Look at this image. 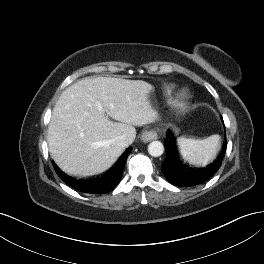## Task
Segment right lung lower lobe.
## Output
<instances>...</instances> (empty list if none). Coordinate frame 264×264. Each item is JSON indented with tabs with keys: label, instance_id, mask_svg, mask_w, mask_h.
I'll use <instances>...</instances> for the list:
<instances>
[{
	"label": "right lung lower lobe",
	"instance_id": "98d812e1",
	"mask_svg": "<svg viewBox=\"0 0 264 264\" xmlns=\"http://www.w3.org/2000/svg\"><path fill=\"white\" fill-rule=\"evenodd\" d=\"M130 151L131 148H128L122 155V157L118 160L116 165L106 174L88 181L74 180L63 174L56 166H54V168L61 179H63L67 184L78 191L92 194L108 193L112 191L120 182L125 160Z\"/></svg>",
	"mask_w": 264,
	"mask_h": 264
}]
</instances>
